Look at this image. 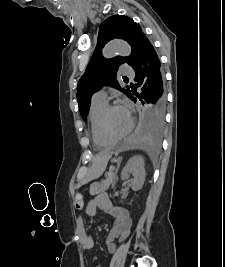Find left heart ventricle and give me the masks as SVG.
<instances>
[{
    "instance_id": "left-heart-ventricle-1",
    "label": "left heart ventricle",
    "mask_w": 225,
    "mask_h": 267,
    "mask_svg": "<svg viewBox=\"0 0 225 267\" xmlns=\"http://www.w3.org/2000/svg\"><path fill=\"white\" fill-rule=\"evenodd\" d=\"M130 118L119 107L112 109L106 118V127L108 132L114 136H122L128 129Z\"/></svg>"
}]
</instances>
